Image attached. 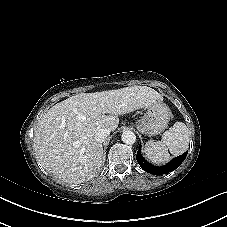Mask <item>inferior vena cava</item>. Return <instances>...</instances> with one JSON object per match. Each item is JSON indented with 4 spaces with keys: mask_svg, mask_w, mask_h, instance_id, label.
<instances>
[{
    "mask_svg": "<svg viewBox=\"0 0 227 227\" xmlns=\"http://www.w3.org/2000/svg\"><path fill=\"white\" fill-rule=\"evenodd\" d=\"M109 134H110L109 129L101 128V129L96 131L94 138L97 142L103 143V142H105V140L109 136Z\"/></svg>",
    "mask_w": 227,
    "mask_h": 227,
    "instance_id": "1",
    "label": "inferior vena cava"
}]
</instances>
